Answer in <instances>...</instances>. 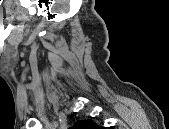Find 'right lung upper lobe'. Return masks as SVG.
I'll list each match as a JSON object with an SVG mask.
<instances>
[{"mask_svg": "<svg viewBox=\"0 0 169 129\" xmlns=\"http://www.w3.org/2000/svg\"><path fill=\"white\" fill-rule=\"evenodd\" d=\"M74 128L76 129H95L99 128L96 126V124L90 119V120H80L74 125Z\"/></svg>", "mask_w": 169, "mask_h": 129, "instance_id": "cb5924a9", "label": "right lung upper lobe"}]
</instances>
